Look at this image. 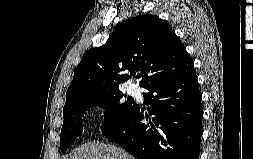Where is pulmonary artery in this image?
<instances>
[{"mask_svg": "<svg viewBox=\"0 0 253 159\" xmlns=\"http://www.w3.org/2000/svg\"><path fill=\"white\" fill-rule=\"evenodd\" d=\"M136 90H137V87L135 85H132L130 88L131 93L136 92Z\"/></svg>", "mask_w": 253, "mask_h": 159, "instance_id": "1", "label": "pulmonary artery"}]
</instances>
